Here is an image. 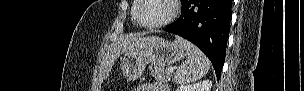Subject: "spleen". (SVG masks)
I'll use <instances>...</instances> for the list:
<instances>
[{
    "mask_svg": "<svg viewBox=\"0 0 304 91\" xmlns=\"http://www.w3.org/2000/svg\"><path fill=\"white\" fill-rule=\"evenodd\" d=\"M176 38L178 43L186 50L188 58L177 69L174 82L178 85H186L204 77L210 69V61L194 44L183 38Z\"/></svg>",
    "mask_w": 304,
    "mask_h": 91,
    "instance_id": "spleen-1",
    "label": "spleen"
}]
</instances>
